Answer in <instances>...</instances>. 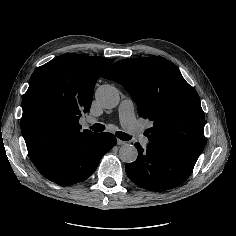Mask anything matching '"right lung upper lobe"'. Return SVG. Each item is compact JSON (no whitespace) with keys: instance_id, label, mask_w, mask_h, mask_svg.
I'll return each instance as SVG.
<instances>
[{"instance_id":"obj_1","label":"right lung upper lobe","mask_w":236,"mask_h":236,"mask_svg":"<svg viewBox=\"0 0 236 236\" xmlns=\"http://www.w3.org/2000/svg\"><path fill=\"white\" fill-rule=\"evenodd\" d=\"M113 59L80 54L59 56L38 67L22 100L21 131L30 158L43 173L81 131L79 118L90 110L93 90Z\"/></svg>"}]
</instances>
